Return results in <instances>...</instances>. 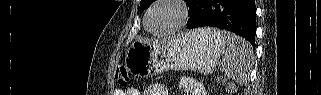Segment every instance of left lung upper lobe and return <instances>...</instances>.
<instances>
[{"label": "left lung upper lobe", "instance_id": "obj_1", "mask_svg": "<svg viewBox=\"0 0 321 95\" xmlns=\"http://www.w3.org/2000/svg\"><path fill=\"white\" fill-rule=\"evenodd\" d=\"M155 0H141V2H140V8L142 9V10H144V9H147L148 7H149V5L151 4V3H153ZM192 0H186V4L187 5H189V3L191 2Z\"/></svg>", "mask_w": 321, "mask_h": 95}]
</instances>
